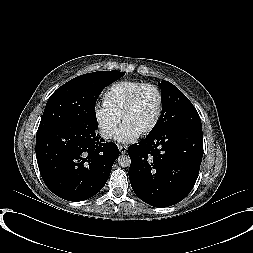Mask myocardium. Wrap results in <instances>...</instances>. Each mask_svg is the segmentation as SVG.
Returning <instances> with one entry per match:
<instances>
[{"label":"myocardium","instance_id":"f54148a6","mask_svg":"<svg viewBox=\"0 0 253 253\" xmlns=\"http://www.w3.org/2000/svg\"><path fill=\"white\" fill-rule=\"evenodd\" d=\"M148 88L155 90V92L157 93V95H158V108H157L156 114H155L154 119L151 122V124L146 129L139 132L140 136H145V135L150 134L156 128V126L158 125V123L160 121V118H161L162 112H163V106H164V96H163L161 89L157 85L152 84V83H146V84H143L142 86L138 87L130 95V97L126 101V103L121 111V114H120L121 122L124 123V119H125L126 115L132 109V107L135 105L139 95L145 89H148Z\"/></svg>","mask_w":253,"mask_h":253}]
</instances>
